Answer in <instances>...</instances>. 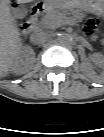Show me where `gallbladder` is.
<instances>
[{
  "instance_id": "obj_1",
  "label": "gallbladder",
  "mask_w": 104,
  "mask_h": 137,
  "mask_svg": "<svg viewBox=\"0 0 104 137\" xmlns=\"http://www.w3.org/2000/svg\"><path fill=\"white\" fill-rule=\"evenodd\" d=\"M11 15L15 18H24L27 15V8L25 6H20L11 11Z\"/></svg>"
}]
</instances>
